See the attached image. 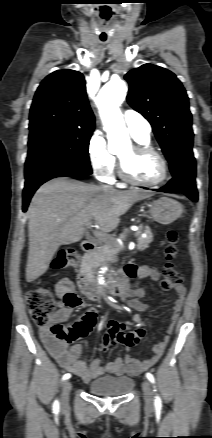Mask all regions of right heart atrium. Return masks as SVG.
Here are the masks:
<instances>
[{
  "label": "right heart atrium",
  "instance_id": "d8ad5b80",
  "mask_svg": "<svg viewBox=\"0 0 212 438\" xmlns=\"http://www.w3.org/2000/svg\"><path fill=\"white\" fill-rule=\"evenodd\" d=\"M87 156L94 175L101 181L111 180L116 167V158L108 150L106 140L100 132H95L90 137Z\"/></svg>",
  "mask_w": 212,
  "mask_h": 438
}]
</instances>
